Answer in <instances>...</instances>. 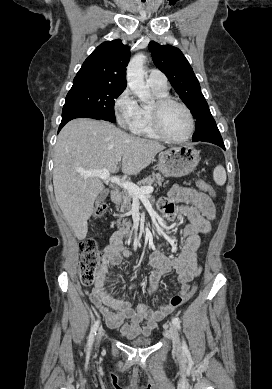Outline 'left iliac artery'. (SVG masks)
Here are the masks:
<instances>
[{
  "mask_svg": "<svg viewBox=\"0 0 272 389\" xmlns=\"http://www.w3.org/2000/svg\"><path fill=\"white\" fill-rule=\"evenodd\" d=\"M172 323L178 328L180 329L181 326H180V320L177 318V317H173L172 318ZM182 349H183V352L188 354L189 353V350H188V347L186 345V342L183 340V343H182Z\"/></svg>",
  "mask_w": 272,
  "mask_h": 389,
  "instance_id": "1",
  "label": "left iliac artery"
}]
</instances>
